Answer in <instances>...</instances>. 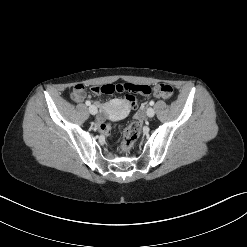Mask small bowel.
<instances>
[{
  "mask_svg": "<svg viewBox=\"0 0 247 247\" xmlns=\"http://www.w3.org/2000/svg\"><path fill=\"white\" fill-rule=\"evenodd\" d=\"M86 97V94L82 95V96H75L72 94V98L76 101V102H81L83 101V99ZM105 108V107H104ZM102 117L99 119V122L102 123ZM102 125V124H101Z\"/></svg>",
  "mask_w": 247,
  "mask_h": 247,
  "instance_id": "c3829d8e",
  "label": "small bowel"
}]
</instances>
